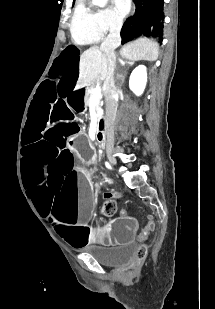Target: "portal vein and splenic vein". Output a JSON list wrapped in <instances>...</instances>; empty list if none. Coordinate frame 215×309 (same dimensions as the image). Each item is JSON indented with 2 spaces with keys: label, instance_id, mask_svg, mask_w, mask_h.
Returning <instances> with one entry per match:
<instances>
[{
  "label": "portal vein and splenic vein",
  "instance_id": "1",
  "mask_svg": "<svg viewBox=\"0 0 215 309\" xmlns=\"http://www.w3.org/2000/svg\"><path fill=\"white\" fill-rule=\"evenodd\" d=\"M99 94H101V88L96 86V88H93L92 96H99Z\"/></svg>",
  "mask_w": 215,
  "mask_h": 309
}]
</instances>
